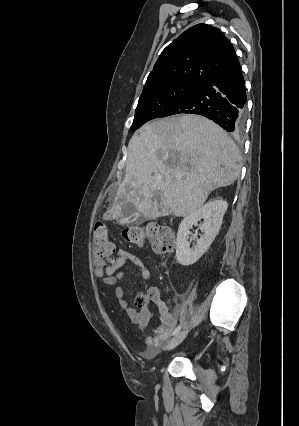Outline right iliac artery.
Returning <instances> with one entry per match:
<instances>
[{"mask_svg":"<svg viewBox=\"0 0 299 426\" xmlns=\"http://www.w3.org/2000/svg\"><path fill=\"white\" fill-rule=\"evenodd\" d=\"M180 329H181V325L177 326V327L174 329V331L172 332V335H176V334H178V332L180 331Z\"/></svg>","mask_w":299,"mask_h":426,"instance_id":"obj_1","label":"right iliac artery"}]
</instances>
